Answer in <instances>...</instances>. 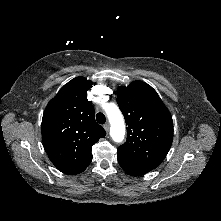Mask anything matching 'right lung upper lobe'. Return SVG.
Returning a JSON list of instances; mask_svg holds the SVG:
<instances>
[{"label":"right lung upper lobe","mask_w":221,"mask_h":221,"mask_svg":"<svg viewBox=\"0 0 221 221\" xmlns=\"http://www.w3.org/2000/svg\"><path fill=\"white\" fill-rule=\"evenodd\" d=\"M92 82L76 77L48 103L42 118V141L55 167L70 175L84 171L92 161V146L105 130L96 123L86 93Z\"/></svg>","instance_id":"obj_1"}]
</instances>
